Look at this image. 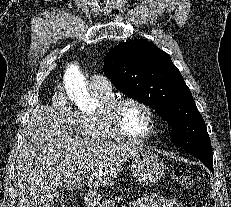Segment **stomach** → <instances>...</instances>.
<instances>
[{"mask_svg": "<svg viewBox=\"0 0 231 207\" xmlns=\"http://www.w3.org/2000/svg\"><path fill=\"white\" fill-rule=\"evenodd\" d=\"M131 171L140 184H154L163 176L165 165L159 155L141 149L131 155Z\"/></svg>", "mask_w": 231, "mask_h": 207, "instance_id": "stomach-1", "label": "stomach"}]
</instances>
